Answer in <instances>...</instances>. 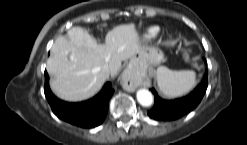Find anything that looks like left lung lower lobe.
I'll list each match as a JSON object with an SVG mask.
<instances>
[{
  "instance_id": "0a47b994",
  "label": "left lung lower lobe",
  "mask_w": 247,
  "mask_h": 145,
  "mask_svg": "<svg viewBox=\"0 0 247 145\" xmlns=\"http://www.w3.org/2000/svg\"><path fill=\"white\" fill-rule=\"evenodd\" d=\"M208 86L207 75L204 76L202 83L189 94L180 99L163 100L157 96L154 89L155 104L148 112V115L156 120H175L193 110L203 98Z\"/></svg>"
}]
</instances>
